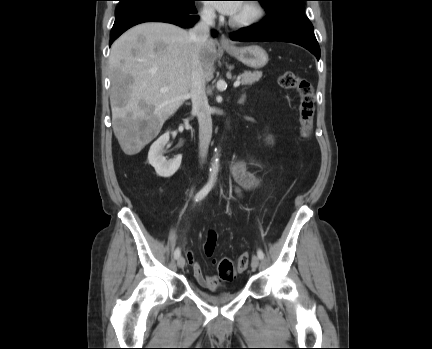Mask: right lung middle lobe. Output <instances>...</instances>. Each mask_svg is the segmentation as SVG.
<instances>
[{
  "mask_svg": "<svg viewBox=\"0 0 432 349\" xmlns=\"http://www.w3.org/2000/svg\"><path fill=\"white\" fill-rule=\"evenodd\" d=\"M119 1H120V5H122V4H125V3H128V2H132L134 0H119ZM167 1L175 2V3H180V2H183L185 0H167Z\"/></svg>",
  "mask_w": 432,
  "mask_h": 349,
  "instance_id": "1",
  "label": "right lung middle lobe"
}]
</instances>
